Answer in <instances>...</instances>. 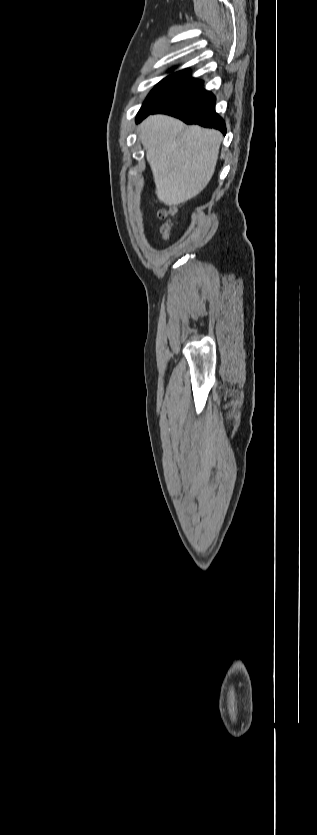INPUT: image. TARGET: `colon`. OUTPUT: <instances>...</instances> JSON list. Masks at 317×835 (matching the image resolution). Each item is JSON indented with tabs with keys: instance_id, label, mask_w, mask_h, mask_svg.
<instances>
[{
	"instance_id": "colon-1",
	"label": "colon",
	"mask_w": 317,
	"mask_h": 835,
	"mask_svg": "<svg viewBox=\"0 0 317 835\" xmlns=\"http://www.w3.org/2000/svg\"><path fill=\"white\" fill-rule=\"evenodd\" d=\"M176 214V208L173 206L160 208L158 211V216L161 220L164 221L162 226V231L164 233H169L173 228V217Z\"/></svg>"
}]
</instances>
